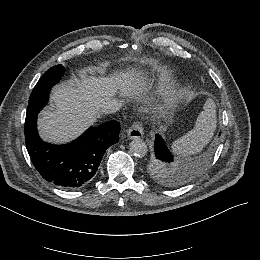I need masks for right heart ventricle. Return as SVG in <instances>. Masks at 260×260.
<instances>
[{
  "label": "right heart ventricle",
  "instance_id": "e07e8e85",
  "mask_svg": "<svg viewBox=\"0 0 260 260\" xmlns=\"http://www.w3.org/2000/svg\"><path fill=\"white\" fill-rule=\"evenodd\" d=\"M149 75L155 77H164L166 76V73L161 70L152 69L149 71Z\"/></svg>",
  "mask_w": 260,
  "mask_h": 260
}]
</instances>
